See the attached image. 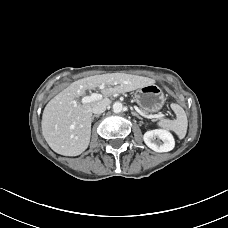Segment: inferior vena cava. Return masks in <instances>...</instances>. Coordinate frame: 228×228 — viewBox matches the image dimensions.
I'll use <instances>...</instances> for the list:
<instances>
[{
	"mask_svg": "<svg viewBox=\"0 0 228 228\" xmlns=\"http://www.w3.org/2000/svg\"><path fill=\"white\" fill-rule=\"evenodd\" d=\"M108 105H109V102H106V101L97 102L93 106L92 112L94 114H101V113H103L106 110Z\"/></svg>",
	"mask_w": 228,
	"mask_h": 228,
	"instance_id": "602c4592",
	"label": "inferior vena cava"
}]
</instances>
